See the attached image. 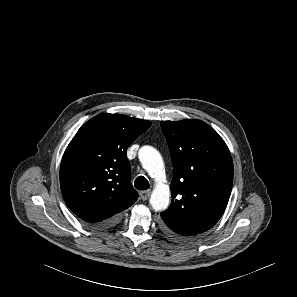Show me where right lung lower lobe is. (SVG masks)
<instances>
[{"label":"right lung lower lobe","instance_id":"1","mask_svg":"<svg viewBox=\"0 0 297 297\" xmlns=\"http://www.w3.org/2000/svg\"><path fill=\"white\" fill-rule=\"evenodd\" d=\"M119 221V215H116L110 219H107L105 221L96 223V224H91L92 227L97 228V229H105L109 228L113 225H115Z\"/></svg>","mask_w":297,"mask_h":297}]
</instances>
